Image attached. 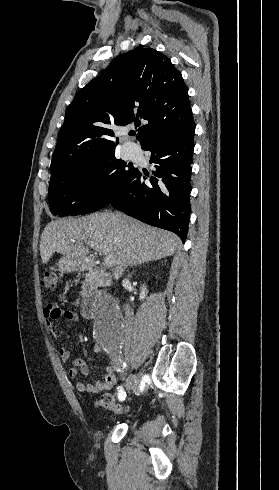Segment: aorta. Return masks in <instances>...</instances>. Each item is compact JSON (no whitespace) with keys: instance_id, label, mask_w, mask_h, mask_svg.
Masks as SVG:
<instances>
[{"instance_id":"obj_1","label":"aorta","mask_w":279,"mask_h":490,"mask_svg":"<svg viewBox=\"0 0 279 490\" xmlns=\"http://www.w3.org/2000/svg\"><path fill=\"white\" fill-rule=\"evenodd\" d=\"M94 334L107 347L115 346L124 334V319L117 303L110 298L99 300L94 320Z\"/></svg>"}]
</instances>
